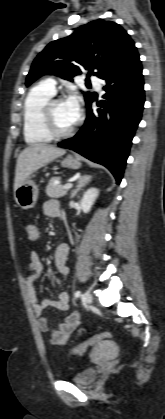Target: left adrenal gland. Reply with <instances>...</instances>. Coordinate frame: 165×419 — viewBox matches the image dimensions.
<instances>
[{"label": "left adrenal gland", "instance_id": "a2214340", "mask_svg": "<svg viewBox=\"0 0 165 419\" xmlns=\"http://www.w3.org/2000/svg\"><path fill=\"white\" fill-rule=\"evenodd\" d=\"M92 179V176L90 175H84L79 177L77 185L75 186V189L72 191L70 198H73L79 190H81L83 187H85Z\"/></svg>", "mask_w": 165, "mask_h": 419}]
</instances>
